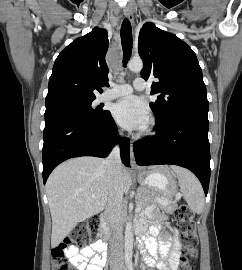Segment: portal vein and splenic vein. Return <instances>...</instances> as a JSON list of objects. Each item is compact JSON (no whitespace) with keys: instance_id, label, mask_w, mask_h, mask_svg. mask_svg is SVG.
Segmentation results:
<instances>
[{"instance_id":"portal-vein-and-splenic-vein-1","label":"portal vein and splenic vein","mask_w":242,"mask_h":270,"mask_svg":"<svg viewBox=\"0 0 242 270\" xmlns=\"http://www.w3.org/2000/svg\"><path fill=\"white\" fill-rule=\"evenodd\" d=\"M181 194H177V196H176V200L175 201H177V200H179L180 198H181ZM168 203H170V202H164V204H168ZM141 210V208H140V206H137V208H136V212H139Z\"/></svg>"}]
</instances>
